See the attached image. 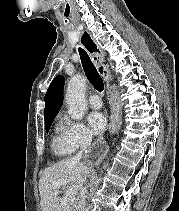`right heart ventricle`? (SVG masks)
Here are the masks:
<instances>
[{
	"instance_id": "obj_1",
	"label": "right heart ventricle",
	"mask_w": 179,
	"mask_h": 211,
	"mask_svg": "<svg viewBox=\"0 0 179 211\" xmlns=\"http://www.w3.org/2000/svg\"><path fill=\"white\" fill-rule=\"evenodd\" d=\"M52 150L60 157L69 155L72 151L68 148L62 138V125L58 123L55 127V134L52 140Z\"/></svg>"
}]
</instances>
